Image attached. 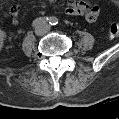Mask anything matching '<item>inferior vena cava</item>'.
Here are the masks:
<instances>
[{"instance_id":"inferior-vena-cava-1","label":"inferior vena cava","mask_w":119,"mask_h":119,"mask_svg":"<svg viewBox=\"0 0 119 119\" xmlns=\"http://www.w3.org/2000/svg\"><path fill=\"white\" fill-rule=\"evenodd\" d=\"M47 31H49V26H47L46 31L44 33H46Z\"/></svg>"}]
</instances>
